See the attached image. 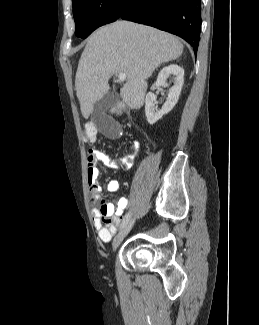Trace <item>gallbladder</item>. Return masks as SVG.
Instances as JSON below:
<instances>
[{"mask_svg": "<svg viewBox=\"0 0 259 325\" xmlns=\"http://www.w3.org/2000/svg\"><path fill=\"white\" fill-rule=\"evenodd\" d=\"M118 101V93L109 91L93 106L92 120L101 131V135L108 136V139H121L119 121H113L111 115H106V111L114 107Z\"/></svg>", "mask_w": 259, "mask_h": 325, "instance_id": "bac80fb5", "label": "gallbladder"}]
</instances>
